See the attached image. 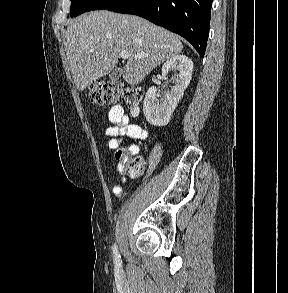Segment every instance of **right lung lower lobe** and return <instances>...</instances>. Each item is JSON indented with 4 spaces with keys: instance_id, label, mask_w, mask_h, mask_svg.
I'll return each instance as SVG.
<instances>
[{
    "instance_id": "right-lung-lower-lobe-1",
    "label": "right lung lower lobe",
    "mask_w": 288,
    "mask_h": 293,
    "mask_svg": "<svg viewBox=\"0 0 288 293\" xmlns=\"http://www.w3.org/2000/svg\"><path fill=\"white\" fill-rule=\"evenodd\" d=\"M212 0H120L107 10L133 14L177 33L204 56Z\"/></svg>"
}]
</instances>
